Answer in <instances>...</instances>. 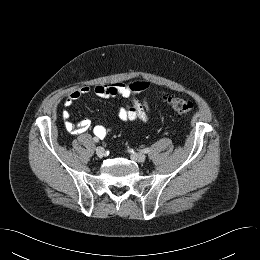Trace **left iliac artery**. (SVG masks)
<instances>
[{
    "mask_svg": "<svg viewBox=\"0 0 260 260\" xmlns=\"http://www.w3.org/2000/svg\"><path fill=\"white\" fill-rule=\"evenodd\" d=\"M143 153H149L150 152V148H145L143 150H141Z\"/></svg>",
    "mask_w": 260,
    "mask_h": 260,
    "instance_id": "left-iliac-artery-1",
    "label": "left iliac artery"
}]
</instances>
